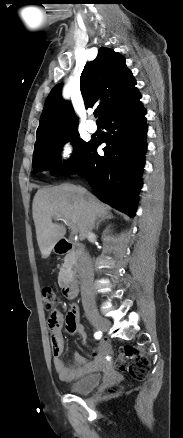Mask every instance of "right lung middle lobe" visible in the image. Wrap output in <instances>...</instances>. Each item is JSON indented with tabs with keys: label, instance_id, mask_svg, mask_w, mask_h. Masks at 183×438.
Returning <instances> with one entry per match:
<instances>
[{
	"label": "right lung middle lobe",
	"instance_id": "obj_1",
	"mask_svg": "<svg viewBox=\"0 0 183 438\" xmlns=\"http://www.w3.org/2000/svg\"><path fill=\"white\" fill-rule=\"evenodd\" d=\"M71 141L77 145L76 154H78L88 143L79 138L77 129L60 132L46 137L36 139L35 149L33 153V168L37 170L50 169L59 172L66 169L71 161L66 164H61L59 153L65 142ZM75 154V155H76Z\"/></svg>",
	"mask_w": 183,
	"mask_h": 438
}]
</instances>
